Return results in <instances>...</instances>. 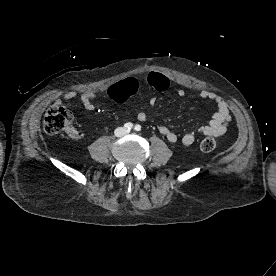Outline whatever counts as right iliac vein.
Returning a JSON list of instances; mask_svg holds the SVG:
<instances>
[{
    "label": "right iliac vein",
    "instance_id": "obj_1",
    "mask_svg": "<svg viewBox=\"0 0 276 276\" xmlns=\"http://www.w3.org/2000/svg\"><path fill=\"white\" fill-rule=\"evenodd\" d=\"M122 133V130H118L117 131V134L119 135V134H121Z\"/></svg>",
    "mask_w": 276,
    "mask_h": 276
}]
</instances>
